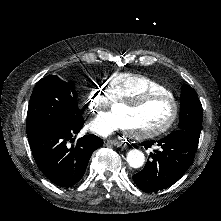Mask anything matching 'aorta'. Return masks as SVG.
<instances>
[{"label": "aorta", "mask_w": 221, "mask_h": 221, "mask_svg": "<svg viewBox=\"0 0 221 221\" xmlns=\"http://www.w3.org/2000/svg\"><path fill=\"white\" fill-rule=\"evenodd\" d=\"M127 163L132 168H140L145 162L144 153L138 149H132L127 153Z\"/></svg>", "instance_id": "aorta-1"}]
</instances>
